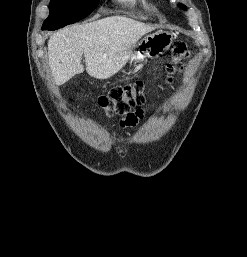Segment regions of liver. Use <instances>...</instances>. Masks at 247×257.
<instances>
[{
	"mask_svg": "<svg viewBox=\"0 0 247 257\" xmlns=\"http://www.w3.org/2000/svg\"><path fill=\"white\" fill-rule=\"evenodd\" d=\"M154 28L124 16H111L54 33L48 41L49 65L56 85L84 71L108 79L130 59L137 41Z\"/></svg>",
	"mask_w": 247,
	"mask_h": 257,
	"instance_id": "obj_1",
	"label": "liver"
}]
</instances>
